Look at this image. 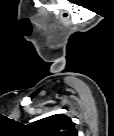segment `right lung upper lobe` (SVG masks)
Masks as SVG:
<instances>
[{"label":"right lung upper lobe","instance_id":"1","mask_svg":"<svg viewBox=\"0 0 114 136\" xmlns=\"http://www.w3.org/2000/svg\"><path fill=\"white\" fill-rule=\"evenodd\" d=\"M32 134L36 136H77L75 124L64 114H55L29 125Z\"/></svg>","mask_w":114,"mask_h":136}]
</instances>
